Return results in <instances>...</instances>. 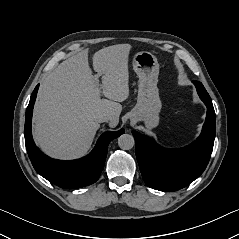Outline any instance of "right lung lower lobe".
<instances>
[{"instance_id":"right-lung-lower-lobe-1","label":"right lung lower lobe","mask_w":239,"mask_h":239,"mask_svg":"<svg viewBox=\"0 0 239 239\" xmlns=\"http://www.w3.org/2000/svg\"><path fill=\"white\" fill-rule=\"evenodd\" d=\"M39 84L35 87L25 117V145L34 169L49 182L64 188L76 189L96 182L104 168L109 143L122 135L124 130L105 132L97 141L92 152L81 159L62 161L52 159L43 154L35 145L31 120Z\"/></svg>"}]
</instances>
